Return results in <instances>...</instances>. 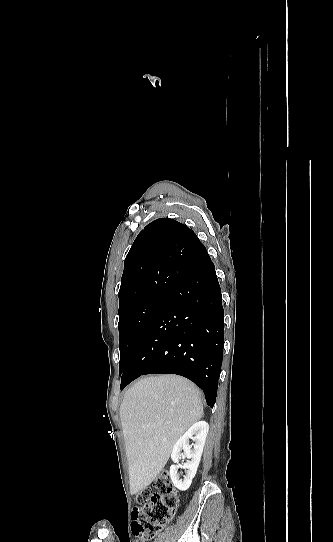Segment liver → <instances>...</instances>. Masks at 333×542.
Segmentation results:
<instances>
[{"label": "liver", "instance_id": "obj_1", "mask_svg": "<svg viewBox=\"0 0 333 542\" xmlns=\"http://www.w3.org/2000/svg\"><path fill=\"white\" fill-rule=\"evenodd\" d=\"M130 494L152 484L184 432L203 416L200 392L190 380L145 376L124 394L120 406Z\"/></svg>", "mask_w": 333, "mask_h": 542}]
</instances>
